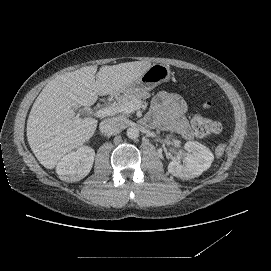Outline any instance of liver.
<instances>
[{"instance_id": "6515ba94", "label": "liver", "mask_w": 271, "mask_h": 271, "mask_svg": "<svg viewBox=\"0 0 271 271\" xmlns=\"http://www.w3.org/2000/svg\"><path fill=\"white\" fill-rule=\"evenodd\" d=\"M148 61H134L112 66H86L58 75L42 89L28 116L26 135L38 161L52 168L68 151L85 143L94 133L97 120L79 119V106L96 102L98 93L121 92L149 67Z\"/></svg>"}]
</instances>
